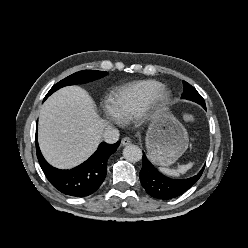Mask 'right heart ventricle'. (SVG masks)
<instances>
[{
    "label": "right heart ventricle",
    "mask_w": 248,
    "mask_h": 248,
    "mask_svg": "<svg viewBox=\"0 0 248 248\" xmlns=\"http://www.w3.org/2000/svg\"><path fill=\"white\" fill-rule=\"evenodd\" d=\"M161 87L162 84L156 80H141L120 87L111 100L114 116L122 123L135 120L151 104Z\"/></svg>",
    "instance_id": "1"
}]
</instances>
